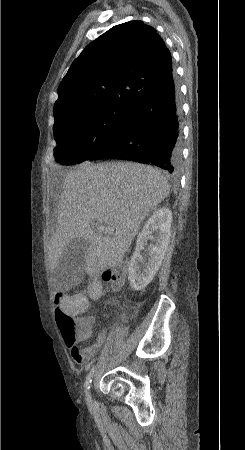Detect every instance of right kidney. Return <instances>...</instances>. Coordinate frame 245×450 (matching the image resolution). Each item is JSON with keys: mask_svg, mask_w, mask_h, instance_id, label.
Here are the masks:
<instances>
[{"mask_svg": "<svg viewBox=\"0 0 245 450\" xmlns=\"http://www.w3.org/2000/svg\"><path fill=\"white\" fill-rule=\"evenodd\" d=\"M171 222V211L166 207L160 208L148 219L138 235L137 248L128 267V279L134 290H143L159 270L170 242ZM148 240H152L153 244L149 246L148 258L145 262L140 251Z\"/></svg>", "mask_w": 245, "mask_h": 450, "instance_id": "right-kidney-1", "label": "right kidney"}]
</instances>
